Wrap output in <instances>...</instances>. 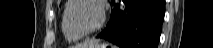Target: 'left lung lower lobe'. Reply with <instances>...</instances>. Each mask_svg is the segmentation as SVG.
<instances>
[{
	"label": "left lung lower lobe",
	"mask_w": 213,
	"mask_h": 48,
	"mask_svg": "<svg viewBox=\"0 0 213 48\" xmlns=\"http://www.w3.org/2000/svg\"><path fill=\"white\" fill-rule=\"evenodd\" d=\"M113 5L107 27L97 38L120 48H157L165 0H121Z\"/></svg>",
	"instance_id": "1"
}]
</instances>
